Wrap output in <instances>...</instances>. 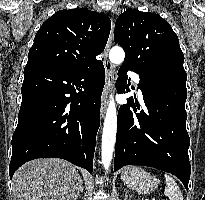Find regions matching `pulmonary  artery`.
<instances>
[{
    "instance_id": "1",
    "label": "pulmonary artery",
    "mask_w": 205,
    "mask_h": 200,
    "mask_svg": "<svg viewBox=\"0 0 205 200\" xmlns=\"http://www.w3.org/2000/svg\"><path fill=\"white\" fill-rule=\"evenodd\" d=\"M129 77H131L133 79V81L139 86L140 83V77L138 74L134 73V72H129L128 73ZM139 94L141 95V90L138 89Z\"/></svg>"
}]
</instances>
